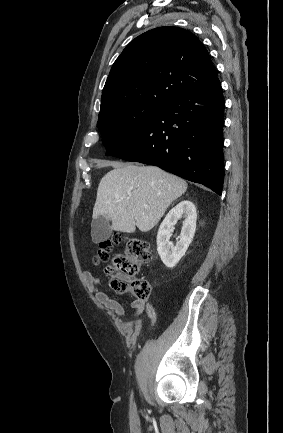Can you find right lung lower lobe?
<instances>
[{
    "label": "right lung lower lobe",
    "mask_w": 283,
    "mask_h": 433,
    "mask_svg": "<svg viewBox=\"0 0 283 433\" xmlns=\"http://www.w3.org/2000/svg\"><path fill=\"white\" fill-rule=\"evenodd\" d=\"M223 124L224 97L217 78L167 103L136 138L114 156L158 166L221 195Z\"/></svg>",
    "instance_id": "obj_1"
}]
</instances>
